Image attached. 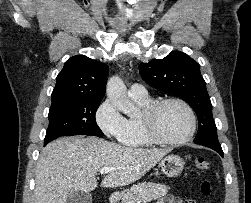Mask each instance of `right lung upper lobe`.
<instances>
[{"label": "right lung upper lobe", "instance_id": "obj_1", "mask_svg": "<svg viewBox=\"0 0 251 203\" xmlns=\"http://www.w3.org/2000/svg\"><path fill=\"white\" fill-rule=\"evenodd\" d=\"M108 66L84 55L71 57L57 76L51 107L77 100L103 98Z\"/></svg>", "mask_w": 251, "mask_h": 203}]
</instances>
